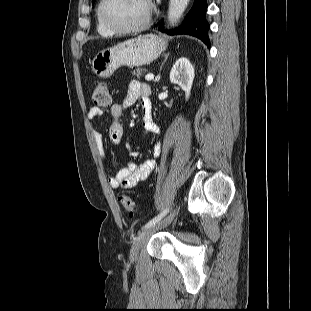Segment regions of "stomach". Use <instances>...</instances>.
Instances as JSON below:
<instances>
[{"label": "stomach", "instance_id": "0dacf381", "mask_svg": "<svg viewBox=\"0 0 311 311\" xmlns=\"http://www.w3.org/2000/svg\"><path fill=\"white\" fill-rule=\"evenodd\" d=\"M166 48L167 40L164 37L140 35L96 54L92 60V70L99 78H108L121 66L139 67L151 63Z\"/></svg>", "mask_w": 311, "mask_h": 311}]
</instances>
